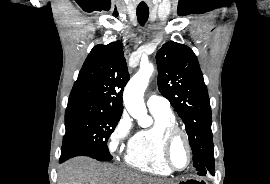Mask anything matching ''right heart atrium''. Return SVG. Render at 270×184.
Instances as JSON below:
<instances>
[{"label": "right heart atrium", "instance_id": "obj_1", "mask_svg": "<svg viewBox=\"0 0 270 184\" xmlns=\"http://www.w3.org/2000/svg\"><path fill=\"white\" fill-rule=\"evenodd\" d=\"M133 122L127 112H123L108 138V149L111 153H117L123 148H128L132 139Z\"/></svg>", "mask_w": 270, "mask_h": 184}]
</instances>
